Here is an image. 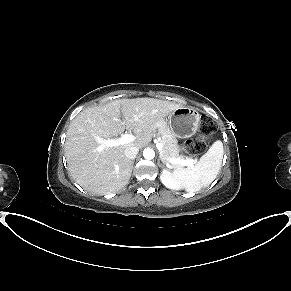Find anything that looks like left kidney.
<instances>
[{
    "mask_svg": "<svg viewBox=\"0 0 291 291\" xmlns=\"http://www.w3.org/2000/svg\"><path fill=\"white\" fill-rule=\"evenodd\" d=\"M160 179L162 183L169 189L180 190L183 187L181 182L176 180L166 169L162 170Z\"/></svg>",
    "mask_w": 291,
    "mask_h": 291,
    "instance_id": "obj_1",
    "label": "left kidney"
}]
</instances>
